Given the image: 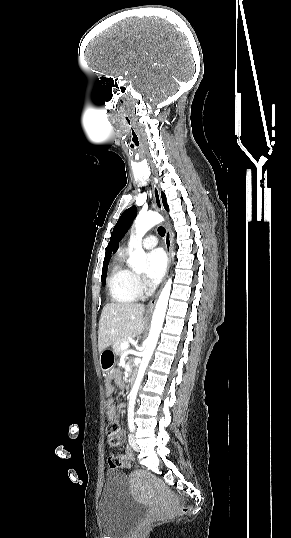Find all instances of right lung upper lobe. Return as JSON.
Instances as JSON below:
<instances>
[{
    "label": "right lung upper lobe",
    "mask_w": 291,
    "mask_h": 538,
    "mask_svg": "<svg viewBox=\"0 0 291 538\" xmlns=\"http://www.w3.org/2000/svg\"><path fill=\"white\" fill-rule=\"evenodd\" d=\"M117 248H118V246H117ZM117 248H116V249H117ZM116 249H115V250H116ZM115 250H114V244H113V242H112V237H111L110 242H109V244H108V246H107V248H106L104 262L110 260V255H111V253H112L113 251L115 252Z\"/></svg>",
    "instance_id": "obj_1"
}]
</instances>
